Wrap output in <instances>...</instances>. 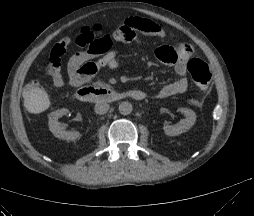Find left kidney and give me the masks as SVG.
<instances>
[{
    "mask_svg": "<svg viewBox=\"0 0 254 216\" xmlns=\"http://www.w3.org/2000/svg\"><path fill=\"white\" fill-rule=\"evenodd\" d=\"M179 111L184 114L185 119L175 125H165L163 129L168 136H178L188 131L195 124L196 114L193 110L189 108H180Z\"/></svg>",
    "mask_w": 254,
    "mask_h": 216,
    "instance_id": "1",
    "label": "left kidney"
}]
</instances>
